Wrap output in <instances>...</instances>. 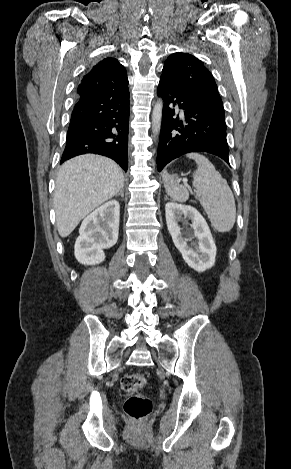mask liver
Instances as JSON below:
<instances>
[{"mask_svg": "<svg viewBox=\"0 0 291 469\" xmlns=\"http://www.w3.org/2000/svg\"><path fill=\"white\" fill-rule=\"evenodd\" d=\"M124 185L122 169L93 154L65 162L56 177L54 209L57 229L67 237L91 211L111 199Z\"/></svg>", "mask_w": 291, "mask_h": 469, "instance_id": "6515ba94", "label": "liver"}]
</instances>
